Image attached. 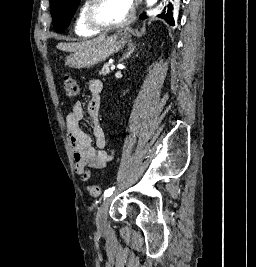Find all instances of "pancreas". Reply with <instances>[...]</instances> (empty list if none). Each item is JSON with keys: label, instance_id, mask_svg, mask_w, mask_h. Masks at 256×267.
<instances>
[{"label": "pancreas", "instance_id": "cf45deb5", "mask_svg": "<svg viewBox=\"0 0 256 267\" xmlns=\"http://www.w3.org/2000/svg\"><path fill=\"white\" fill-rule=\"evenodd\" d=\"M101 74H103V76H106V74H110V68L108 64H105V66H103Z\"/></svg>", "mask_w": 256, "mask_h": 267}]
</instances>
